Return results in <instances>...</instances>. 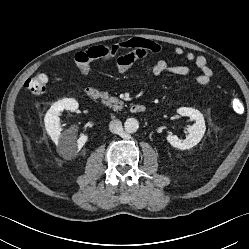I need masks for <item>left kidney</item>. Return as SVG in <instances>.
I'll return each mask as SVG.
<instances>
[{"label": "left kidney", "instance_id": "5707ae66", "mask_svg": "<svg viewBox=\"0 0 249 249\" xmlns=\"http://www.w3.org/2000/svg\"><path fill=\"white\" fill-rule=\"evenodd\" d=\"M177 113L192 118L195 123L188 127L189 134L186 139H179L176 135H168L166 139L175 148L180 150L190 149L197 145L204 136L206 130L204 117L200 111L189 107H181L177 110Z\"/></svg>", "mask_w": 249, "mask_h": 249}]
</instances>
